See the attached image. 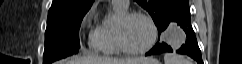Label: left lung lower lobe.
<instances>
[{
    "instance_id": "obj_1",
    "label": "left lung lower lobe",
    "mask_w": 242,
    "mask_h": 64,
    "mask_svg": "<svg viewBox=\"0 0 242 64\" xmlns=\"http://www.w3.org/2000/svg\"><path fill=\"white\" fill-rule=\"evenodd\" d=\"M177 24L185 31L187 40L186 42L176 50L179 54L188 55L198 62V64H203L201 51L199 49L194 30L190 25V15L184 16L177 21ZM165 52H173V49L164 42L157 43L149 52L148 55H156Z\"/></svg>"
}]
</instances>
